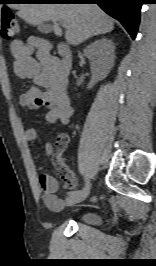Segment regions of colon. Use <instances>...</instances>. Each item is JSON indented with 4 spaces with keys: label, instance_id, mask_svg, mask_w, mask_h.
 Listing matches in <instances>:
<instances>
[{
    "label": "colon",
    "instance_id": "colon-1",
    "mask_svg": "<svg viewBox=\"0 0 156 266\" xmlns=\"http://www.w3.org/2000/svg\"><path fill=\"white\" fill-rule=\"evenodd\" d=\"M19 22L12 11L5 9L1 13V34L5 40H12L19 34ZM66 137L59 138L58 146L66 142Z\"/></svg>",
    "mask_w": 156,
    "mask_h": 266
}]
</instances>
